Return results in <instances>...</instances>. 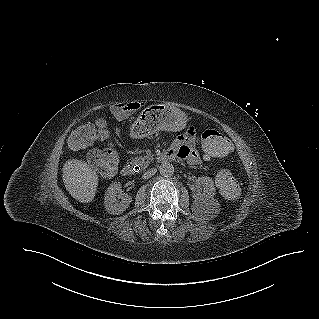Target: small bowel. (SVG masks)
I'll list each match as a JSON object with an SVG mask.
<instances>
[{
	"instance_id": "c3829d8e",
	"label": "small bowel",
	"mask_w": 319,
	"mask_h": 319,
	"mask_svg": "<svg viewBox=\"0 0 319 319\" xmlns=\"http://www.w3.org/2000/svg\"><path fill=\"white\" fill-rule=\"evenodd\" d=\"M138 104L121 103L115 106L114 113L118 120H123L126 116L136 111ZM170 151L177 160H187L190 164H199L201 157L195 148V130L190 128L186 133L178 136L172 144Z\"/></svg>"
}]
</instances>
